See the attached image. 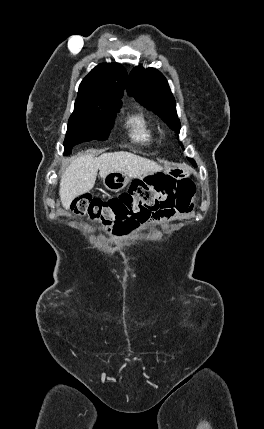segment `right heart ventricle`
Returning a JSON list of instances; mask_svg holds the SVG:
<instances>
[{
	"mask_svg": "<svg viewBox=\"0 0 264 429\" xmlns=\"http://www.w3.org/2000/svg\"><path fill=\"white\" fill-rule=\"evenodd\" d=\"M129 136L141 143H150L154 140V129L151 119L142 111L129 115L125 121Z\"/></svg>",
	"mask_w": 264,
	"mask_h": 429,
	"instance_id": "e07e8e85",
	"label": "right heart ventricle"
}]
</instances>
